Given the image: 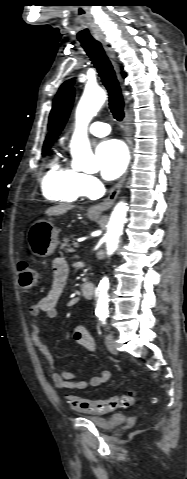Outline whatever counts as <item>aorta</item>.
<instances>
[{"label":"aorta","mask_w":187,"mask_h":479,"mask_svg":"<svg viewBox=\"0 0 187 479\" xmlns=\"http://www.w3.org/2000/svg\"><path fill=\"white\" fill-rule=\"evenodd\" d=\"M106 94L100 87H86L76 109V127L71 139V154L74 168L86 173H96L100 169L99 161L93 156L87 136V127L91 119L97 114L104 104ZM127 203L119 202L110 217L106 234L107 255L110 256L116 250L119 238L122 235L126 222ZM99 296L96 313L108 314V289L109 280L104 277L99 283Z\"/></svg>","instance_id":"762f6f07"}]
</instances>
